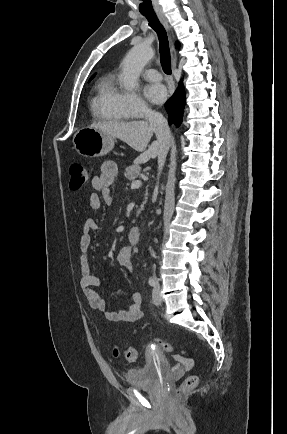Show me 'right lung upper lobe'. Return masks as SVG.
Here are the masks:
<instances>
[{
  "instance_id": "right-lung-upper-lobe-1",
  "label": "right lung upper lobe",
  "mask_w": 287,
  "mask_h": 434,
  "mask_svg": "<svg viewBox=\"0 0 287 434\" xmlns=\"http://www.w3.org/2000/svg\"><path fill=\"white\" fill-rule=\"evenodd\" d=\"M94 77V75L90 78V80Z\"/></svg>"
}]
</instances>
